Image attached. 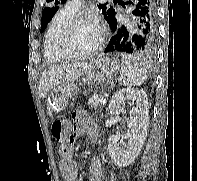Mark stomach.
I'll use <instances>...</instances> for the list:
<instances>
[{"instance_id":"obj_1","label":"stomach","mask_w":197,"mask_h":181,"mask_svg":"<svg viewBox=\"0 0 197 181\" xmlns=\"http://www.w3.org/2000/svg\"><path fill=\"white\" fill-rule=\"evenodd\" d=\"M121 72V64L117 59L112 57L95 59L82 79L62 82L52 89L48 97V108L60 112L68 106L70 99L78 92V84H103L113 80Z\"/></svg>"}]
</instances>
